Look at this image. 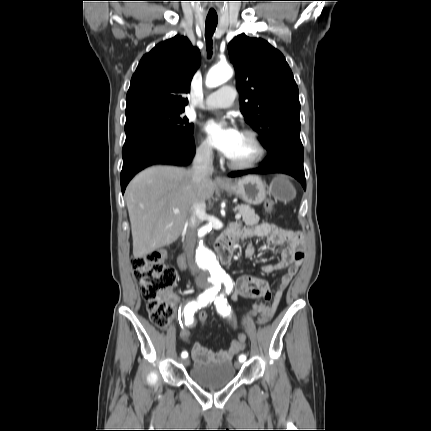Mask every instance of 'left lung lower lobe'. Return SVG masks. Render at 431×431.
<instances>
[{
	"mask_svg": "<svg viewBox=\"0 0 431 431\" xmlns=\"http://www.w3.org/2000/svg\"><path fill=\"white\" fill-rule=\"evenodd\" d=\"M269 152V156L261 163L260 168L236 171L229 174L230 177H238L247 174L285 173L296 178L306 189V180L303 168V146L289 143H281Z\"/></svg>",
	"mask_w": 431,
	"mask_h": 431,
	"instance_id": "left-lung-lower-lobe-1",
	"label": "left lung lower lobe"
}]
</instances>
